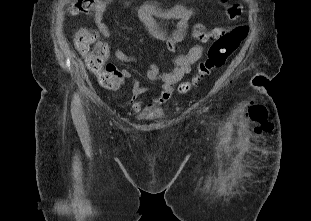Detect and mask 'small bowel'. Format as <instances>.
I'll list each match as a JSON object with an SVG mask.
<instances>
[{
    "instance_id": "small-bowel-1",
    "label": "small bowel",
    "mask_w": 311,
    "mask_h": 221,
    "mask_svg": "<svg viewBox=\"0 0 311 221\" xmlns=\"http://www.w3.org/2000/svg\"><path fill=\"white\" fill-rule=\"evenodd\" d=\"M111 0H97L90 17L95 21L97 29L105 37L110 38L111 33L102 19L106 6ZM194 12L191 8L177 4L169 8L162 7L152 1H145L137 8V16L142 22L146 32L154 39L164 41L167 49L174 52L176 45L181 42L188 28V21ZM156 17L176 21V29L172 33L166 32L156 22ZM113 53L115 58L122 63H134L135 58L127 55L121 49L114 47ZM203 54V47L195 45L185 54H179L174 58V69L169 73H160L158 64H151L147 71L146 77L149 81L161 82L160 91L156 94H150L149 90L140 84L138 79L131 70L123 68L117 71L120 78V85L125 81L132 83L130 106L134 114L141 119L152 118L158 115L160 108L171 97L176 82L186 75L190 66L196 63ZM120 87V86H119Z\"/></svg>"
}]
</instances>
